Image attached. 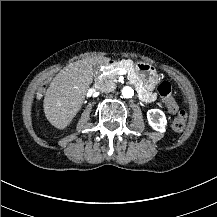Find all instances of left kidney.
I'll list each match as a JSON object with an SVG mask.
<instances>
[{"mask_svg": "<svg viewBox=\"0 0 217 217\" xmlns=\"http://www.w3.org/2000/svg\"><path fill=\"white\" fill-rule=\"evenodd\" d=\"M147 119L149 125L156 131H159L161 133L165 132L167 120L165 117V114L160 109H150L147 111Z\"/></svg>", "mask_w": 217, "mask_h": 217, "instance_id": "1", "label": "left kidney"}]
</instances>
